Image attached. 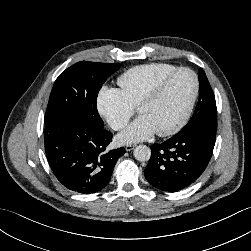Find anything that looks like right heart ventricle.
Masks as SVG:
<instances>
[{
  "label": "right heart ventricle",
  "mask_w": 251,
  "mask_h": 251,
  "mask_svg": "<svg viewBox=\"0 0 251 251\" xmlns=\"http://www.w3.org/2000/svg\"><path fill=\"white\" fill-rule=\"evenodd\" d=\"M178 69L169 63H151L132 67L122 73L117 83L131 106H137L147 92L162 78Z\"/></svg>",
  "instance_id": "right-heart-ventricle-1"
}]
</instances>
